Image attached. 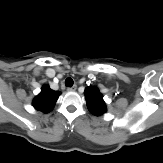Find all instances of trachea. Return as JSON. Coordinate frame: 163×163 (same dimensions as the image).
I'll return each mask as SVG.
<instances>
[{"label":"trachea","instance_id":"1","mask_svg":"<svg viewBox=\"0 0 163 163\" xmlns=\"http://www.w3.org/2000/svg\"><path fill=\"white\" fill-rule=\"evenodd\" d=\"M73 84H74V81H73L72 78L69 77V78H67V79L65 80V85H66V87H72Z\"/></svg>","mask_w":163,"mask_h":163}]
</instances>
